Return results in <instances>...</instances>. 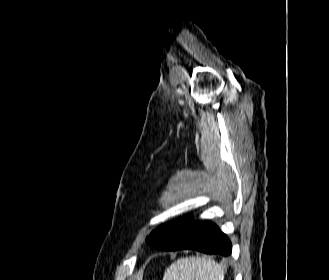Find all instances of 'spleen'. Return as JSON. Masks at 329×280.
Segmentation results:
<instances>
[{
    "instance_id": "obj_1",
    "label": "spleen",
    "mask_w": 329,
    "mask_h": 280,
    "mask_svg": "<svg viewBox=\"0 0 329 280\" xmlns=\"http://www.w3.org/2000/svg\"><path fill=\"white\" fill-rule=\"evenodd\" d=\"M163 280H224V271L210 258L184 257L167 268Z\"/></svg>"
}]
</instances>
